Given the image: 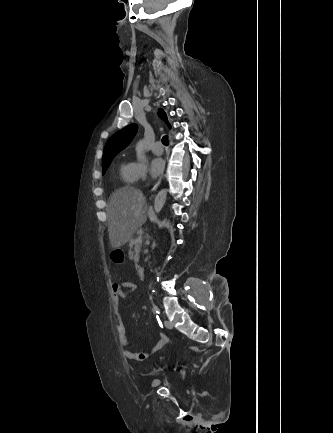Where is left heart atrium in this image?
I'll return each mask as SVG.
<instances>
[{
  "label": "left heart atrium",
  "mask_w": 333,
  "mask_h": 433,
  "mask_svg": "<svg viewBox=\"0 0 333 433\" xmlns=\"http://www.w3.org/2000/svg\"><path fill=\"white\" fill-rule=\"evenodd\" d=\"M164 170V161L162 158H154L151 161V172L154 176L160 175Z\"/></svg>",
  "instance_id": "left-heart-atrium-1"
}]
</instances>
